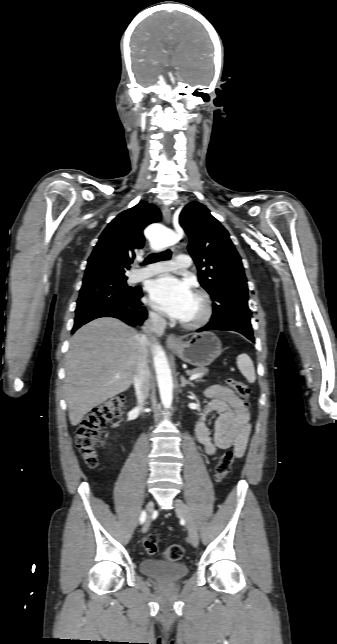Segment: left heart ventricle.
<instances>
[{
    "label": "left heart ventricle",
    "instance_id": "b2bd125f",
    "mask_svg": "<svg viewBox=\"0 0 337 644\" xmlns=\"http://www.w3.org/2000/svg\"><path fill=\"white\" fill-rule=\"evenodd\" d=\"M200 311H201V304L199 300L194 296L190 304V307L188 309V312L186 316L183 318V320H192L196 318L199 315Z\"/></svg>",
    "mask_w": 337,
    "mask_h": 644
}]
</instances>
